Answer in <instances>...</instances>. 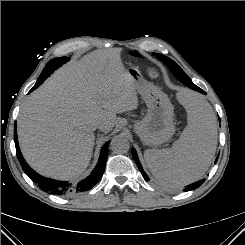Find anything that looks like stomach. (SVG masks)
Instances as JSON below:
<instances>
[{
	"label": "stomach",
	"instance_id": "1",
	"mask_svg": "<svg viewBox=\"0 0 245 245\" xmlns=\"http://www.w3.org/2000/svg\"><path fill=\"white\" fill-rule=\"evenodd\" d=\"M126 71L148 108L146 116L134 124L135 132L146 145L156 146L166 142L175 132L173 105L166 94L143 79L137 67L129 65Z\"/></svg>",
	"mask_w": 245,
	"mask_h": 245
}]
</instances>
